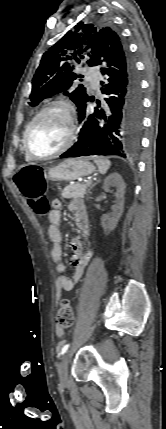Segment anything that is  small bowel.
<instances>
[{
    "mask_svg": "<svg viewBox=\"0 0 166 429\" xmlns=\"http://www.w3.org/2000/svg\"><path fill=\"white\" fill-rule=\"evenodd\" d=\"M55 209L48 214V237L52 242L51 258L56 264V271L58 276L56 278L55 286L57 296L59 297L62 291H70L74 288L75 284L82 277L86 266L93 256V251H84L83 243L80 238H74L71 241V249L73 256L71 258V264L74 268L72 277H67L64 274L65 266L62 263V247L61 240L62 235L60 231L61 213L58 210L59 202L55 201ZM69 210L73 213L76 226L79 231L85 236L89 235V219L83 202L79 199H74L70 205ZM56 335L61 338L64 335V330L60 327H56Z\"/></svg>",
    "mask_w": 166,
    "mask_h": 429,
    "instance_id": "c3829d8e",
    "label": "small bowel"
}]
</instances>
